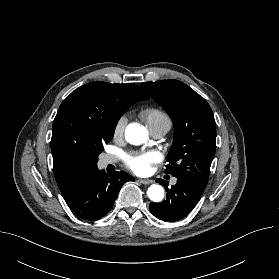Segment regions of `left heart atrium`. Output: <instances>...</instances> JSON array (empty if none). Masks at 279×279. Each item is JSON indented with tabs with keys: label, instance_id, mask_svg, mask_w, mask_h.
Masks as SVG:
<instances>
[{
	"label": "left heart atrium",
	"instance_id": "left-heart-atrium-1",
	"mask_svg": "<svg viewBox=\"0 0 279 279\" xmlns=\"http://www.w3.org/2000/svg\"><path fill=\"white\" fill-rule=\"evenodd\" d=\"M161 156L156 151L127 156L126 165L135 173L144 175L151 171L152 164L158 162Z\"/></svg>",
	"mask_w": 279,
	"mask_h": 279
}]
</instances>
